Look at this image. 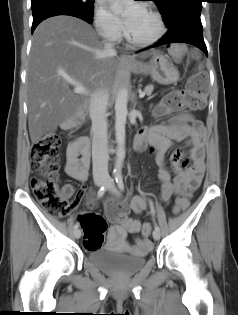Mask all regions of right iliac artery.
<instances>
[{"mask_svg":"<svg viewBox=\"0 0 238 315\" xmlns=\"http://www.w3.org/2000/svg\"><path fill=\"white\" fill-rule=\"evenodd\" d=\"M114 179L111 177L107 183H105L103 186L100 187V189L98 190V197H101L104 195L107 187L109 186L110 182H112ZM79 227V223H76L74 225V229H77Z\"/></svg>","mask_w":238,"mask_h":315,"instance_id":"obj_1","label":"right iliac artery"}]
</instances>
